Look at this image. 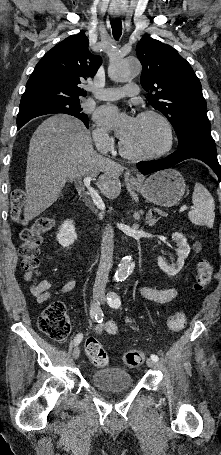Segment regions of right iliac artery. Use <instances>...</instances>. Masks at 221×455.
I'll use <instances>...</instances> for the list:
<instances>
[{
  "instance_id": "82829eb1",
  "label": "right iliac artery",
  "mask_w": 221,
  "mask_h": 455,
  "mask_svg": "<svg viewBox=\"0 0 221 455\" xmlns=\"http://www.w3.org/2000/svg\"><path fill=\"white\" fill-rule=\"evenodd\" d=\"M99 305H100L99 303L92 304L91 310H90V316L93 320L100 323L103 321L104 314ZM82 337H83L82 334H77L74 339V345H78L81 342Z\"/></svg>"
}]
</instances>
